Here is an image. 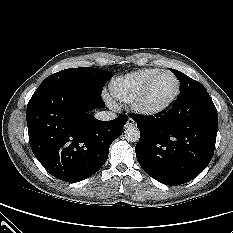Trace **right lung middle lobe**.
I'll return each instance as SVG.
<instances>
[{"label": "right lung middle lobe", "instance_id": "right-lung-middle-lobe-1", "mask_svg": "<svg viewBox=\"0 0 233 233\" xmlns=\"http://www.w3.org/2000/svg\"><path fill=\"white\" fill-rule=\"evenodd\" d=\"M112 76L111 72L93 67L65 69L48 76L39 85L35 93L62 82H71L88 87L96 93L101 94L104 85Z\"/></svg>", "mask_w": 233, "mask_h": 233}]
</instances>
